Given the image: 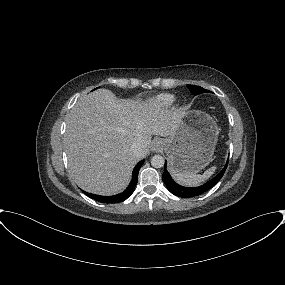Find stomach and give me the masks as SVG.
<instances>
[{
    "instance_id": "obj_1",
    "label": "stomach",
    "mask_w": 285,
    "mask_h": 285,
    "mask_svg": "<svg viewBox=\"0 0 285 285\" xmlns=\"http://www.w3.org/2000/svg\"><path fill=\"white\" fill-rule=\"evenodd\" d=\"M219 129L214 119L200 111H192L181 119L175 132L163 139L172 174L197 173L211 161Z\"/></svg>"
}]
</instances>
